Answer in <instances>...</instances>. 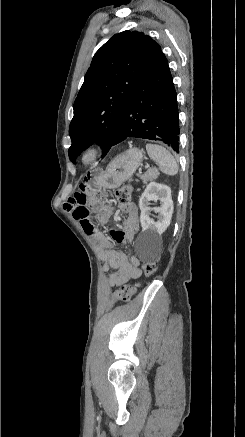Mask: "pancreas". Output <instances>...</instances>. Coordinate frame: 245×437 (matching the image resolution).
Wrapping results in <instances>:
<instances>
[{"instance_id":"obj_1","label":"pancreas","mask_w":245,"mask_h":437,"mask_svg":"<svg viewBox=\"0 0 245 437\" xmlns=\"http://www.w3.org/2000/svg\"><path fill=\"white\" fill-rule=\"evenodd\" d=\"M158 175L159 171L156 168H152L147 170L146 173L140 175V178L142 179L144 184H147L148 181L157 179Z\"/></svg>"}]
</instances>
